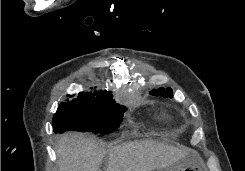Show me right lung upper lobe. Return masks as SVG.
I'll list each match as a JSON object with an SVG mask.
<instances>
[{"mask_svg":"<svg viewBox=\"0 0 245 171\" xmlns=\"http://www.w3.org/2000/svg\"><path fill=\"white\" fill-rule=\"evenodd\" d=\"M105 99H112L111 92L95 91L93 93H86V94L79 93V97L74 101H95V100H105Z\"/></svg>","mask_w":245,"mask_h":171,"instance_id":"1","label":"right lung upper lobe"}]
</instances>
